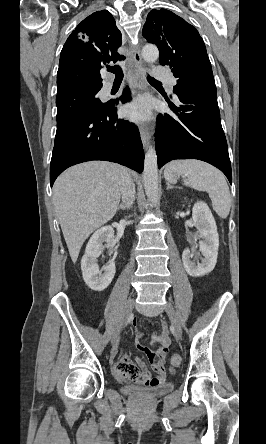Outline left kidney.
<instances>
[{
	"label": "left kidney",
	"mask_w": 266,
	"mask_h": 444,
	"mask_svg": "<svg viewBox=\"0 0 266 444\" xmlns=\"http://www.w3.org/2000/svg\"><path fill=\"white\" fill-rule=\"evenodd\" d=\"M194 226L199 232V250L203 255L201 263L196 264L191 259L193 253L187 248L183 251L182 261L186 272L192 277H202L210 273L217 262L219 235L216 222L206 203L198 201L192 209Z\"/></svg>",
	"instance_id": "1"
}]
</instances>
